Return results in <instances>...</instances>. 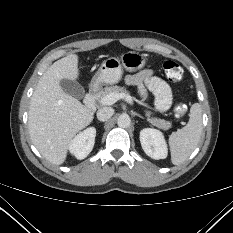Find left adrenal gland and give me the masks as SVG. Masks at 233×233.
<instances>
[{
  "label": "left adrenal gland",
  "instance_id": "1",
  "mask_svg": "<svg viewBox=\"0 0 233 233\" xmlns=\"http://www.w3.org/2000/svg\"><path fill=\"white\" fill-rule=\"evenodd\" d=\"M133 115H136V116H138V117H140V118L143 119V116H141L140 114H138V113H136V112H133Z\"/></svg>",
  "mask_w": 233,
  "mask_h": 233
}]
</instances>
